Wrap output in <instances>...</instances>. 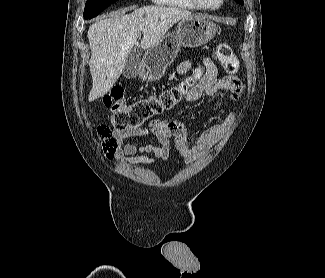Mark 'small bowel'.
Segmentation results:
<instances>
[{
  "label": "small bowel",
  "mask_w": 325,
  "mask_h": 278,
  "mask_svg": "<svg viewBox=\"0 0 325 278\" xmlns=\"http://www.w3.org/2000/svg\"><path fill=\"white\" fill-rule=\"evenodd\" d=\"M201 61L205 67V73L201 81L187 93L184 103L198 101L203 95L216 96L217 102L214 107V112H216L222 106L227 94L232 100H238L243 89L241 81L234 76L219 78L216 65L210 58L204 57ZM191 67V61H184L177 67V73L185 74ZM234 120L235 115L230 113L223 122L203 130L194 138L189 137L185 126L175 119H154L147 127L116 130L113 132V138L118 144L115 155L125 164L153 165L157 160H167L170 146L173 143L185 161L190 164L200 153L208 151L212 142L224 133ZM148 135H152L158 144H123V141L128 138Z\"/></svg>",
  "instance_id": "c3829d8e"
}]
</instances>
